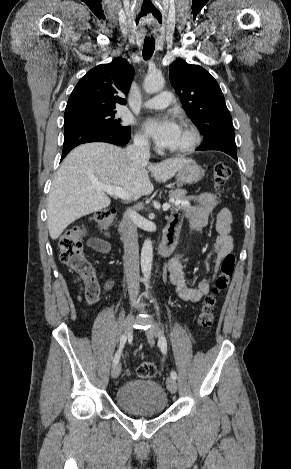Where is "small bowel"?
Here are the masks:
<instances>
[{"label":"small bowel","mask_w":291,"mask_h":469,"mask_svg":"<svg viewBox=\"0 0 291 469\" xmlns=\"http://www.w3.org/2000/svg\"><path fill=\"white\" fill-rule=\"evenodd\" d=\"M216 206V201L211 193H201L193 196L184 202L181 209L176 210L169 221L168 226L175 227L180 232L184 222L191 230V234L201 233L207 226L210 215ZM232 223V214L229 209H222L216 220V232L214 246L205 262V276L196 286L188 285L183 264L184 252H179L168 262V271L170 273L171 283L174 285L179 297L188 302H198L210 289L209 274L212 272V263L215 264L216 273L219 264L223 258L233 250V239L230 235ZM93 247L98 251H105L106 244L101 239L92 241ZM87 286H94L99 289V284L93 278L86 281Z\"/></svg>","instance_id":"c3829d8e"}]
</instances>
